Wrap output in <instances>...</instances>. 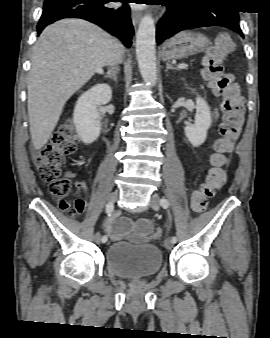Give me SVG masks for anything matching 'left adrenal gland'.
Masks as SVG:
<instances>
[{"instance_id":"obj_1","label":"left adrenal gland","mask_w":270,"mask_h":338,"mask_svg":"<svg viewBox=\"0 0 270 338\" xmlns=\"http://www.w3.org/2000/svg\"><path fill=\"white\" fill-rule=\"evenodd\" d=\"M169 69H175L171 64H169L168 62L166 63V72L169 70Z\"/></svg>"}]
</instances>
